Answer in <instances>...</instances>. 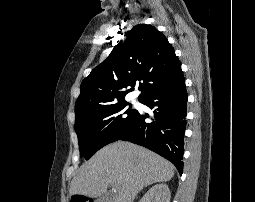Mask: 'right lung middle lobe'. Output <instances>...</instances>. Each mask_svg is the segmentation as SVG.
<instances>
[{
	"label": "right lung middle lobe",
	"instance_id": "1",
	"mask_svg": "<svg viewBox=\"0 0 255 202\" xmlns=\"http://www.w3.org/2000/svg\"><path fill=\"white\" fill-rule=\"evenodd\" d=\"M127 102L94 110L75 121L80 156L89 159L103 146L117 141L134 123L138 111Z\"/></svg>",
	"mask_w": 255,
	"mask_h": 202
}]
</instances>
